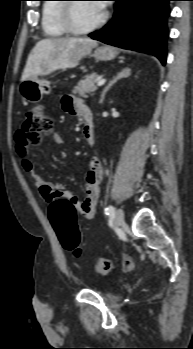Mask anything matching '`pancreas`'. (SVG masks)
Listing matches in <instances>:
<instances>
[{
	"label": "pancreas",
	"instance_id": "1",
	"mask_svg": "<svg viewBox=\"0 0 193 349\" xmlns=\"http://www.w3.org/2000/svg\"><path fill=\"white\" fill-rule=\"evenodd\" d=\"M98 79H99V76L95 73L86 75L74 87L73 93L78 94L81 97H87L88 94H92L96 90L95 84L98 81Z\"/></svg>",
	"mask_w": 193,
	"mask_h": 349
}]
</instances>
